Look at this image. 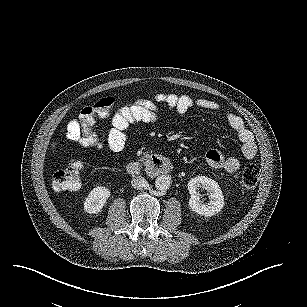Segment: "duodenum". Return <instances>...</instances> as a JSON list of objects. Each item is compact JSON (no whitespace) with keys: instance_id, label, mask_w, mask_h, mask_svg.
<instances>
[{"instance_id":"obj_1","label":"duodenum","mask_w":307,"mask_h":307,"mask_svg":"<svg viewBox=\"0 0 307 307\" xmlns=\"http://www.w3.org/2000/svg\"><path fill=\"white\" fill-rule=\"evenodd\" d=\"M172 165L160 156H149L142 160H133L127 163L126 172L131 176L145 174L149 177H157L170 172Z\"/></svg>"}]
</instances>
